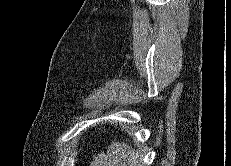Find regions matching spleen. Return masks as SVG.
I'll list each match as a JSON object with an SVG mask.
<instances>
[{"label":"spleen","instance_id":"3e777b00","mask_svg":"<svg viewBox=\"0 0 231 166\" xmlns=\"http://www.w3.org/2000/svg\"><path fill=\"white\" fill-rule=\"evenodd\" d=\"M143 155L122 142H112L107 153H100L91 163L92 166H143Z\"/></svg>","mask_w":231,"mask_h":166}]
</instances>
